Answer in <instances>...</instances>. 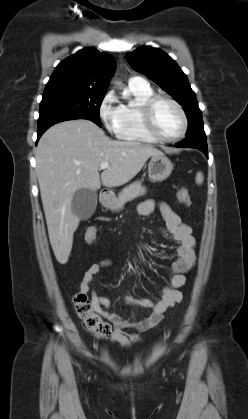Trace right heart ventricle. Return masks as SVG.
I'll use <instances>...</instances> for the list:
<instances>
[{
    "label": "right heart ventricle",
    "instance_id": "obj_1",
    "mask_svg": "<svg viewBox=\"0 0 248 419\" xmlns=\"http://www.w3.org/2000/svg\"><path fill=\"white\" fill-rule=\"evenodd\" d=\"M127 93L132 97V101L120 104L121 123L117 136L125 141L154 143L148 136L141 123L140 108L143 102L154 95L152 88L147 85L144 87H127Z\"/></svg>",
    "mask_w": 248,
    "mask_h": 419
}]
</instances>
